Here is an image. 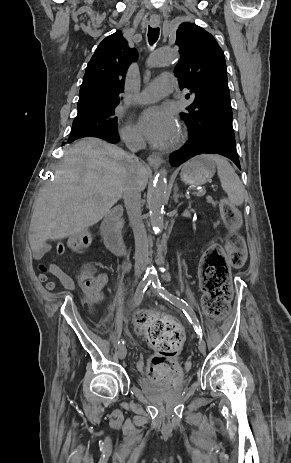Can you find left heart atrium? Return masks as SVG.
<instances>
[{
	"instance_id": "obj_1",
	"label": "left heart atrium",
	"mask_w": 291,
	"mask_h": 463,
	"mask_svg": "<svg viewBox=\"0 0 291 463\" xmlns=\"http://www.w3.org/2000/svg\"><path fill=\"white\" fill-rule=\"evenodd\" d=\"M139 128L148 141L158 146L170 143L177 130L172 115L159 106L149 107L141 113Z\"/></svg>"
}]
</instances>
